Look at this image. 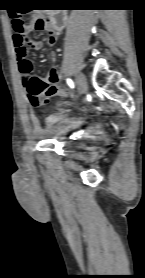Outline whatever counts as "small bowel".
Listing matches in <instances>:
<instances>
[{
	"instance_id": "obj_1",
	"label": "small bowel",
	"mask_w": 145,
	"mask_h": 278,
	"mask_svg": "<svg viewBox=\"0 0 145 278\" xmlns=\"http://www.w3.org/2000/svg\"><path fill=\"white\" fill-rule=\"evenodd\" d=\"M34 29V26H30L27 28V32ZM47 33L46 37L42 40H34L29 38V43L24 45L22 43H17V41L14 38V42L17 49L28 48L34 49V50H40L43 48L44 45H53L57 42L58 35L57 33L50 29L47 25L45 29H43ZM17 69L20 76L21 83L24 87L25 94L27 98L30 100L31 92H37L38 98H39V105H44L49 98L52 96L61 94L62 91L60 87L56 84L57 82V73H56V67L55 63L52 62L50 65V68L44 78H38L33 76V62L28 59L26 56L24 57H17ZM34 85L33 88H31V85ZM31 102V100H30ZM32 103V102H31ZM33 104V103H32ZM31 132L34 136H41L43 133V129L41 125L39 124L37 119L31 120Z\"/></svg>"
}]
</instances>
